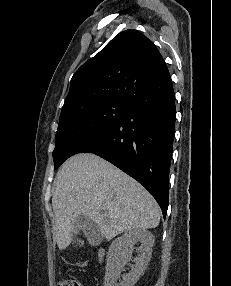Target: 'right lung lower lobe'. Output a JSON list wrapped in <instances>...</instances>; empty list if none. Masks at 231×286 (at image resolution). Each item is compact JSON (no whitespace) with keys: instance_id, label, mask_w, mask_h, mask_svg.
Here are the masks:
<instances>
[{"instance_id":"right-lung-lower-lobe-1","label":"right lung lower lobe","mask_w":231,"mask_h":286,"mask_svg":"<svg viewBox=\"0 0 231 286\" xmlns=\"http://www.w3.org/2000/svg\"><path fill=\"white\" fill-rule=\"evenodd\" d=\"M125 104L126 113L78 153L96 154L136 179L165 217L176 119L171 78L141 89Z\"/></svg>"}]
</instances>
